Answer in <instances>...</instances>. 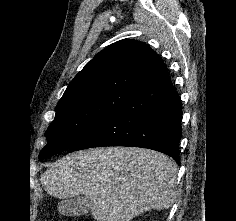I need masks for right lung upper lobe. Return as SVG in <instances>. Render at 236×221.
Segmentation results:
<instances>
[{"label":"right lung upper lobe","instance_id":"cb5924a9","mask_svg":"<svg viewBox=\"0 0 236 221\" xmlns=\"http://www.w3.org/2000/svg\"><path fill=\"white\" fill-rule=\"evenodd\" d=\"M167 73L159 55L148 45L133 39L120 40L102 50L85 65L57 105L103 90L137 92Z\"/></svg>","mask_w":236,"mask_h":221}]
</instances>
